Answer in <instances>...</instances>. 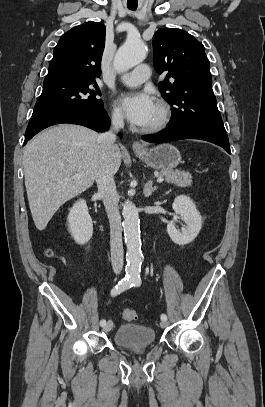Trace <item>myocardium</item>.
I'll return each instance as SVG.
<instances>
[{
    "label": "myocardium",
    "instance_id": "1",
    "mask_svg": "<svg viewBox=\"0 0 265 407\" xmlns=\"http://www.w3.org/2000/svg\"><path fill=\"white\" fill-rule=\"evenodd\" d=\"M156 106L159 109V117L155 123L150 126L143 127V133H156L164 129L171 119V108L164 100H158Z\"/></svg>",
    "mask_w": 265,
    "mask_h": 407
}]
</instances>
